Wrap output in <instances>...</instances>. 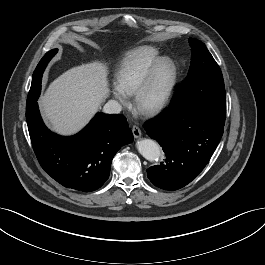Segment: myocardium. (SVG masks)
I'll return each instance as SVG.
<instances>
[{"mask_svg": "<svg viewBox=\"0 0 265 265\" xmlns=\"http://www.w3.org/2000/svg\"><path fill=\"white\" fill-rule=\"evenodd\" d=\"M165 84L162 92L152 98L151 94L162 74ZM177 83V68L170 58L158 59L134 93L135 108L142 114L153 116L162 112L172 100Z\"/></svg>", "mask_w": 265, "mask_h": 265, "instance_id": "obj_1", "label": "myocardium"}]
</instances>
